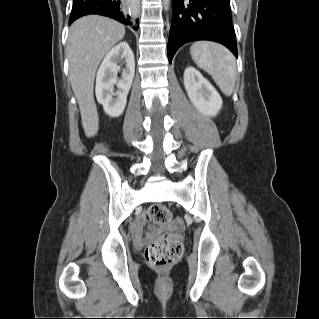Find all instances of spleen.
<instances>
[{"label":"spleen","mask_w":319,"mask_h":319,"mask_svg":"<svg viewBox=\"0 0 319 319\" xmlns=\"http://www.w3.org/2000/svg\"><path fill=\"white\" fill-rule=\"evenodd\" d=\"M190 54L198 67L212 76L226 96L233 93L236 81V61L230 51L217 43L201 41L190 47Z\"/></svg>","instance_id":"obj_1"}]
</instances>
